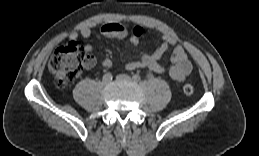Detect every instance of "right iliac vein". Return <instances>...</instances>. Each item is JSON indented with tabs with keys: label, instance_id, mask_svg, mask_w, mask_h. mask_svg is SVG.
I'll return each instance as SVG.
<instances>
[{
	"label": "right iliac vein",
	"instance_id": "63e3f726",
	"mask_svg": "<svg viewBox=\"0 0 259 156\" xmlns=\"http://www.w3.org/2000/svg\"><path fill=\"white\" fill-rule=\"evenodd\" d=\"M109 82H110V80H105V79H103L102 84H103V85H107Z\"/></svg>",
	"mask_w": 259,
	"mask_h": 156
}]
</instances>
